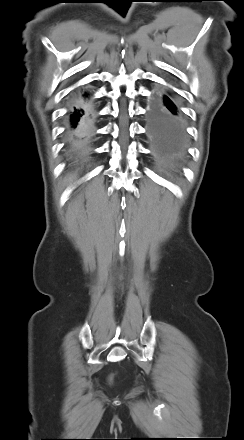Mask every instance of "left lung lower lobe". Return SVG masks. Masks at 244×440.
Segmentation results:
<instances>
[{"mask_svg":"<svg viewBox=\"0 0 244 440\" xmlns=\"http://www.w3.org/2000/svg\"><path fill=\"white\" fill-rule=\"evenodd\" d=\"M147 136L157 158L177 167L187 148L186 121L175 97L168 91L155 93L147 111Z\"/></svg>","mask_w":244,"mask_h":440,"instance_id":"left-lung-lower-lobe-1","label":"left lung lower lobe"}]
</instances>
